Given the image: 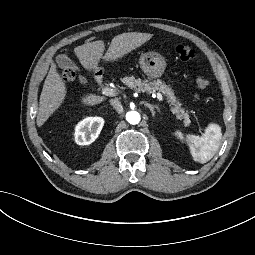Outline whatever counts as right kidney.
<instances>
[{"label": "right kidney", "instance_id": "right-kidney-1", "mask_svg": "<svg viewBox=\"0 0 255 255\" xmlns=\"http://www.w3.org/2000/svg\"><path fill=\"white\" fill-rule=\"evenodd\" d=\"M104 125L102 118H87L76 127L75 141L78 145H88L96 140Z\"/></svg>", "mask_w": 255, "mask_h": 255}]
</instances>
